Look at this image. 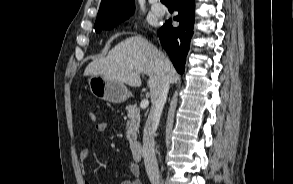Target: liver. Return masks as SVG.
I'll list each match as a JSON object with an SVG mask.
<instances>
[{"label":"liver","instance_id":"liver-1","mask_svg":"<svg viewBox=\"0 0 293 184\" xmlns=\"http://www.w3.org/2000/svg\"><path fill=\"white\" fill-rule=\"evenodd\" d=\"M141 73L149 76L147 85L151 95L164 77L169 78V83L180 79L169 58L139 35L121 41L106 57L90 62L84 71L85 76L100 75L133 87H140Z\"/></svg>","mask_w":293,"mask_h":184}]
</instances>
